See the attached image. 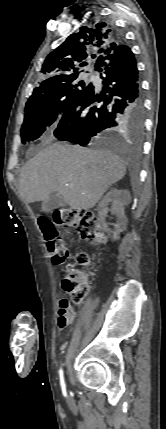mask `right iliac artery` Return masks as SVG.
<instances>
[{
  "label": "right iliac artery",
  "instance_id": "obj_1",
  "mask_svg": "<svg viewBox=\"0 0 166 429\" xmlns=\"http://www.w3.org/2000/svg\"><path fill=\"white\" fill-rule=\"evenodd\" d=\"M59 375H60V384H61V387H62L63 390H65L66 385H65V382H64L62 368H60V370H59Z\"/></svg>",
  "mask_w": 166,
  "mask_h": 429
}]
</instances>
